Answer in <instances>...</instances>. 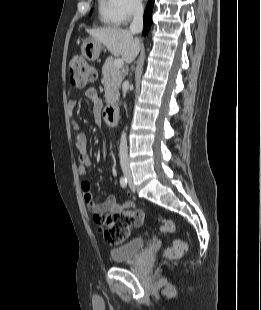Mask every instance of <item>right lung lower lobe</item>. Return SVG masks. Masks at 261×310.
<instances>
[{
    "instance_id": "1",
    "label": "right lung lower lobe",
    "mask_w": 261,
    "mask_h": 310,
    "mask_svg": "<svg viewBox=\"0 0 261 310\" xmlns=\"http://www.w3.org/2000/svg\"><path fill=\"white\" fill-rule=\"evenodd\" d=\"M153 4L154 0H149L147 7L144 12V31L143 33L145 34L146 31L150 28L152 21H151V15H152V10H153Z\"/></svg>"
}]
</instances>
